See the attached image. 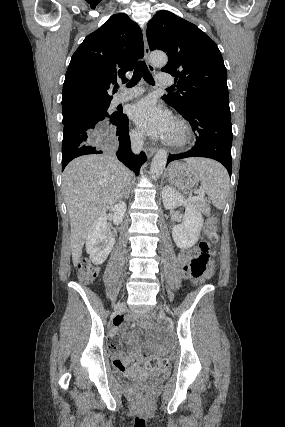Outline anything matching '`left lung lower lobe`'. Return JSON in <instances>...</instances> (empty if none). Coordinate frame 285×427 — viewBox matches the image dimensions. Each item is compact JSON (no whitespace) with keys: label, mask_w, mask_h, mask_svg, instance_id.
Returning <instances> with one entry per match:
<instances>
[{"label":"left lung lower lobe","mask_w":285,"mask_h":427,"mask_svg":"<svg viewBox=\"0 0 285 427\" xmlns=\"http://www.w3.org/2000/svg\"><path fill=\"white\" fill-rule=\"evenodd\" d=\"M178 112L190 122L197 142L185 153L169 155L167 164L187 157H206L222 163L231 176L230 108L214 103H198Z\"/></svg>","instance_id":"0a47b994"}]
</instances>
